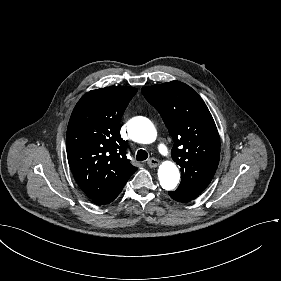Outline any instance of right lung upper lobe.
Wrapping results in <instances>:
<instances>
[{"label":"right lung upper lobe","instance_id":"cb5924a9","mask_svg":"<svg viewBox=\"0 0 281 281\" xmlns=\"http://www.w3.org/2000/svg\"><path fill=\"white\" fill-rule=\"evenodd\" d=\"M137 89L106 87L86 93L76 104L67 128L66 149L72 174L92 200L128 181L137 167L126 157L121 117Z\"/></svg>","mask_w":281,"mask_h":281}]
</instances>
